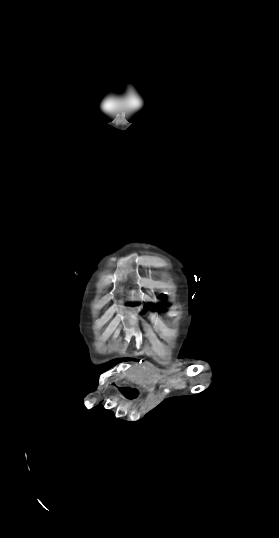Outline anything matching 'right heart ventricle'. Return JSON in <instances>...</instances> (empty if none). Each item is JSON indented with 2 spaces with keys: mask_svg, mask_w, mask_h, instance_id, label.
<instances>
[{
  "mask_svg": "<svg viewBox=\"0 0 279 538\" xmlns=\"http://www.w3.org/2000/svg\"><path fill=\"white\" fill-rule=\"evenodd\" d=\"M93 224L96 228H99L103 223L99 219H96Z\"/></svg>",
  "mask_w": 279,
  "mask_h": 538,
  "instance_id": "e07e8e85",
  "label": "right heart ventricle"
}]
</instances>
